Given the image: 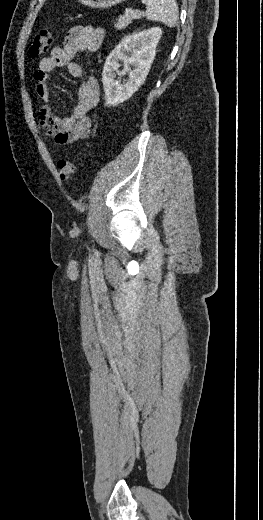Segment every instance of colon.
<instances>
[{
  "mask_svg": "<svg viewBox=\"0 0 263 520\" xmlns=\"http://www.w3.org/2000/svg\"><path fill=\"white\" fill-rule=\"evenodd\" d=\"M53 40L52 29H43L39 31L32 41L29 54L32 57H38L45 54L50 48ZM57 170L62 180H71L76 174V166L68 160H60L57 164Z\"/></svg>",
  "mask_w": 263,
  "mask_h": 520,
  "instance_id": "obj_1",
  "label": "colon"
}]
</instances>
